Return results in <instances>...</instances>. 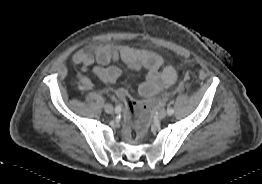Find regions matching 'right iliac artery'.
Segmentation results:
<instances>
[{
    "instance_id": "1",
    "label": "right iliac artery",
    "mask_w": 262,
    "mask_h": 184,
    "mask_svg": "<svg viewBox=\"0 0 262 184\" xmlns=\"http://www.w3.org/2000/svg\"><path fill=\"white\" fill-rule=\"evenodd\" d=\"M115 111H116V113L120 112V111H121V106H120V105H117V106L115 107Z\"/></svg>"
}]
</instances>
